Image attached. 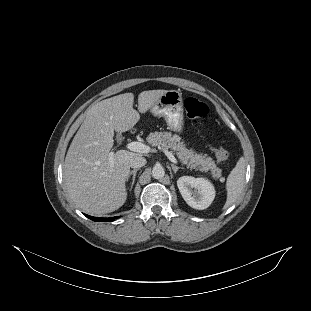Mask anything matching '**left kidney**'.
Listing matches in <instances>:
<instances>
[{
	"label": "left kidney",
	"mask_w": 311,
	"mask_h": 311,
	"mask_svg": "<svg viewBox=\"0 0 311 311\" xmlns=\"http://www.w3.org/2000/svg\"><path fill=\"white\" fill-rule=\"evenodd\" d=\"M177 186L183 199L194 209L208 208L215 198L214 186L205 178L182 176L177 180Z\"/></svg>",
	"instance_id": "obj_1"
}]
</instances>
